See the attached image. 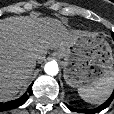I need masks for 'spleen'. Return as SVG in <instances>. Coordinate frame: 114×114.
<instances>
[{
    "instance_id": "spleen-1",
    "label": "spleen",
    "mask_w": 114,
    "mask_h": 114,
    "mask_svg": "<svg viewBox=\"0 0 114 114\" xmlns=\"http://www.w3.org/2000/svg\"><path fill=\"white\" fill-rule=\"evenodd\" d=\"M114 89V70L105 78L98 80L94 85L78 88L79 96L88 103L102 104Z\"/></svg>"
}]
</instances>
